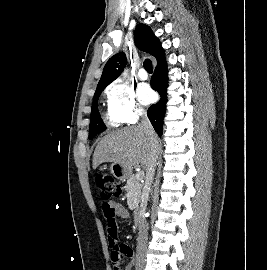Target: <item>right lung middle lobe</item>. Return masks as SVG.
<instances>
[{
  "label": "right lung middle lobe",
  "instance_id": "right-lung-middle-lobe-1",
  "mask_svg": "<svg viewBox=\"0 0 267 270\" xmlns=\"http://www.w3.org/2000/svg\"><path fill=\"white\" fill-rule=\"evenodd\" d=\"M100 94L101 92L95 93L94 98H93L91 120H90V126H89V139H92L98 133H101L106 129V126L100 117L98 107H97L98 98Z\"/></svg>",
  "mask_w": 267,
  "mask_h": 270
}]
</instances>
